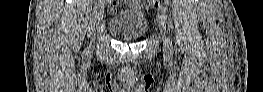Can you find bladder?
Instances as JSON below:
<instances>
[{
	"instance_id": "1",
	"label": "bladder",
	"mask_w": 263,
	"mask_h": 92,
	"mask_svg": "<svg viewBox=\"0 0 263 92\" xmlns=\"http://www.w3.org/2000/svg\"><path fill=\"white\" fill-rule=\"evenodd\" d=\"M107 29L117 40L136 41L147 31L146 19L140 9H127L111 16Z\"/></svg>"
}]
</instances>
